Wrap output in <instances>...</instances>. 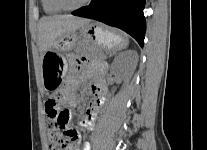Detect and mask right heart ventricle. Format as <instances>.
<instances>
[{"label": "right heart ventricle", "instance_id": "e07e8e85", "mask_svg": "<svg viewBox=\"0 0 207 150\" xmlns=\"http://www.w3.org/2000/svg\"><path fill=\"white\" fill-rule=\"evenodd\" d=\"M42 7L44 12L49 15H56L61 12V10L55 6L52 0H42Z\"/></svg>", "mask_w": 207, "mask_h": 150}]
</instances>
